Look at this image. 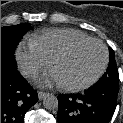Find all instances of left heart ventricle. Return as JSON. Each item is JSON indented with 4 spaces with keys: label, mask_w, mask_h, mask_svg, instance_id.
I'll return each mask as SVG.
<instances>
[{
    "label": "left heart ventricle",
    "mask_w": 123,
    "mask_h": 123,
    "mask_svg": "<svg viewBox=\"0 0 123 123\" xmlns=\"http://www.w3.org/2000/svg\"><path fill=\"white\" fill-rule=\"evenodd\" d=\"M103 58L104 52L99 44H85L57 62L53 71L56 72L62 84H82L98 72Z\"/></svg>",
    "instance_id": "1"
}]
</instances>
